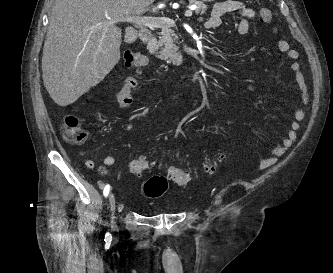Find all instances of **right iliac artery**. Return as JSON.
I'll use <instances>...</instances> for the list:
<instances>
[{
	"mask_svg": "<svg viewBox=\"0 0 333 273\" xmlns=\"http://www.w3.org/2000/svg\"><path fill=\"white\" fill-rule=\"evenodd\" d=\"M109 191H110V185L107 184V185L104 187V190H103V194H104L105 197L108 196ZM105 238H106V239H110V238H111L110 233H106V234H105Z\"/></svg>",
	"mask_w": 333,
	"mask_h": 273,
	"instance_id": "right-iliac-artery-1",
	"label": "right iliac artery"
}]
</instances>
